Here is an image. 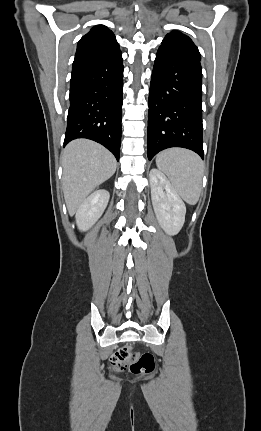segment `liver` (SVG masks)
<instances>
[{"mask_svg": "<svg viewBox=\"0 0 261 431\" xmlns=\"http://www.w3.org/2000/svg\"><path fill=\"white\" fill-rule=\"evenodd\" d=\"M62 166L64 198L69 214L73 215L90 194L115 173L117 162L102 145L77 139L66 146Z\"/></svg>", "mask_w": 261, "mask_h": 431, "instance_id": "liver-1", "label": "liver"}]
</instances>
